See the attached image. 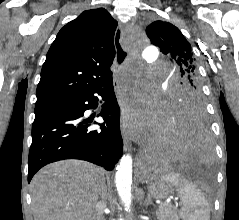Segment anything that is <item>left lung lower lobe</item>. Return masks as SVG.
<instances>
[{
    "mask_svg": "<svg viewBox=\"0 0 239 220\" xmlns=\"http://www.w3.org/2000/svg\"><path fill=\"white\" fill-rule=\"evenodd\" d=\"M168 140L153 165L197 164L212 158L209 128L202 110L165 114Z\"/></svg>",
    "mask_w": 239,
    "mask_h": 220,
    "instance_id": "obj_1",
    "label": "left lung lower lobe"
}]
</instances>
